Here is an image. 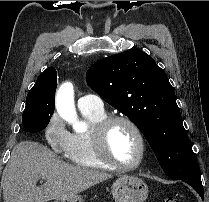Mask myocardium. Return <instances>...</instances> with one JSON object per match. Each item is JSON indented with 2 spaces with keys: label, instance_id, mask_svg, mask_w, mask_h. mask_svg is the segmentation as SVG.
Returning <instances> with one entry per match:
<instances>
[{
  "label": "myocardium",
  "instance_id": "myocardium-1",
  "mask_svg": "<svg viewBox=\"0 0 209 202\" xmlns=\"http://www.w3.org/2000/svg\"><path fill=\"white\" fill-rule=\"evenodd\" d=\"M119 122L129 125L136 133L139 139L140 152H139V158L135 164L132 165L121 164L115 161L111 157L108 151V147H107L108 133L111 127ZM92 141H93L95 153L98 156V158L101 160L103 164H105L107 167L111 169H115L119 171H134L139 167H141L146 157L147 142L145 135L142 129L140 128V126L133 119L125 115H112L100 121L92 130Z\"/></svg>",
  "mask_w": 209,
  "mask_h": 202
}]
</instances>
